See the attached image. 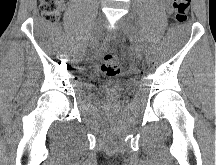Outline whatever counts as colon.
Listing matches in <instances>:
<instances>
[{"label": "colon", "instance_id": "1", "mask_svg": "<svg viewBox=\"0 0 216 165\" xmlns=\"http://www.w3.org/2000/svg\"><path fill=\"white\" fill-rule=\"evenodd\" d=\"M66 0H40V9L44 19L56 21L60 10ZM191 0H172V9L178 23H183L188 18ZM101 71L108 77H118L121 73V65L118 57L111 52L103 56Z\"/></svg>", "mask_w": 216, "mask_h": 165}]
</instances>
